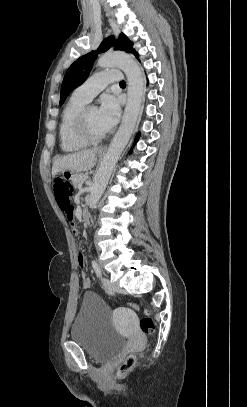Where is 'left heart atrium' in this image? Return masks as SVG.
<instances>
[{"instance_id": "left-heart-atrium-1", "label": "left heart atrium", "mask_w": 247, "mask_h": 407, "mask_svg": "<svg viewBox=\"0 0 247 407\" xmlns=\"http://www.w3.org/2000/svg\"><path fill=\"white\" fill-rule=\"evenodd\" d=\"M98 110L102 123L110 130L119 119L120 105L118 100L112 95H104L101 98V104Z\"/></svg>"}]
</instances>
